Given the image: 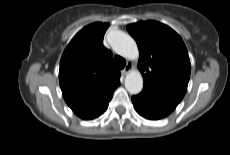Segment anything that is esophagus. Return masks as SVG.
Here are the masks:
<instances>
[{"label":"esophagus","instance_id":"esophagus-1","mask_svg":"<svg viewBox=\"0 0 230 155\" xmlns=\"http://www.w3.org/2000/svg\"><path fill=\"white\" fill-rule=\"evenodd\" d=\"M133 68V63L131 61L127 62V65L125 68L122 70L123 74H127L129 71H131Z\"/></svg>","mask_w":230,"mask_h":155}]
</instances>
